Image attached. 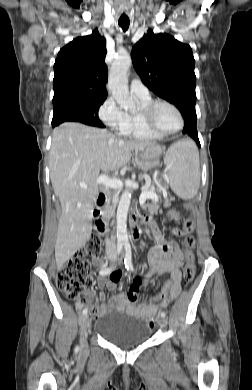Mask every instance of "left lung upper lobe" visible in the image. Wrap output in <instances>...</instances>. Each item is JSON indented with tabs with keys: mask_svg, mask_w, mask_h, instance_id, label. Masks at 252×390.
<instances>
[{
	"mask_svg": "<svg viewBox=\"0 0 252 390\" xmlns=\"http://www.w3.org/2000/svg\"><path fill=\"white\" fill-rule=\"evenodd\" d=\"M131 55L137 73L150 90L174 104L184 118L196 116L195 60L189 45L149 29L133 46Z\"/></svg>",
	"mask_w": 252,
	"mask_h": 390,
	"instance_id": "5c2ea615",
	"label": "left lung upper lobe"
}]
</instances>
